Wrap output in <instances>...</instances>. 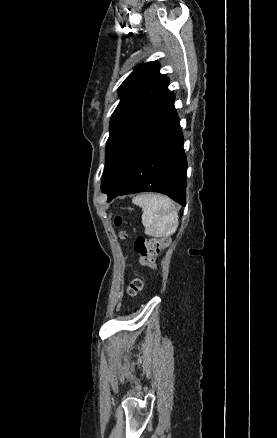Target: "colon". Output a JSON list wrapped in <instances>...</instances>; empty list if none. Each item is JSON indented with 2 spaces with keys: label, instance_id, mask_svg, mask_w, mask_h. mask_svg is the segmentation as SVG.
Wrapping results in <instances>:
<instances>
[{
  "label": "colon",
  "instance_id": "5ec220e1",
  "mask_svg": "<svg viewBox=\"0 0 277 438\" xmlns=\"http://www.w3.org/2000/svg\"><path fill=\"white\" fill-rule=\"evenodd\" d=\"M119 222V219L117 220ZM124 233L122 237H125ZM166 247L165 240H159L146 235H139L135 240V250L141 257V265L144 267L152 268L155 266L157 255L163 251ZM143 287L142 279L139 277L134 278L127 289L129 295H134L141 291Z\"/></svg>",
  "mask_w": 277,
  "mask_h": 438
}]
</instances>
